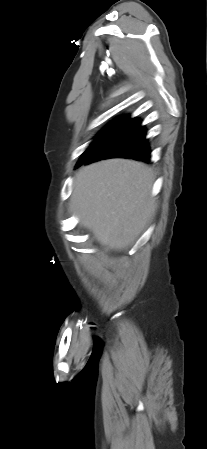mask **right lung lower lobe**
<instances>
[{
    "mask_svg": "<svg viewBox=\"0 0 207 449\" xmlns=\"http://www.w3.org/2000/svg\"><path fill=\"white\" fill-rule=\"evenodd\" d=\"M123 157L150 161V150L145 139V129L138 119H134L124 129L114 135L98 151L77 165L88 164L101 159Z\"/></svg>",
    "mask_w": 207,
    "mask_h": 449,
    "instance_id": "right-lung-lower-lobe-1",
    "label": "right lung lower lobe"
}]
</instances>
